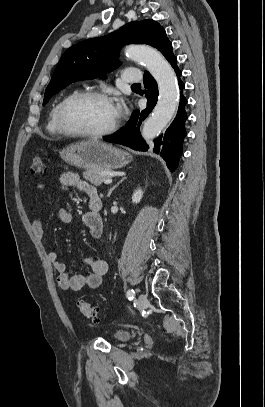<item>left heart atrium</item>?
<instances>
[{
  "label": "left heart atrium",
  "instance_id": "1",
  "mask_svg": "<svg viewBox=\"0 0 265 407\" xmlns=\"http://www.w3.org/2000/svg\"><path fill=\"white\" fill-rule=\"evenodd\" d=\"M113 107H114V110H115L116 115H117V116L120 115L121 112H122V109H123L122 103H121V102H117V103L113 104Z\"/></svg>",
  "mask_w": 265,
  "mask_h": 407
}]
</instances>
